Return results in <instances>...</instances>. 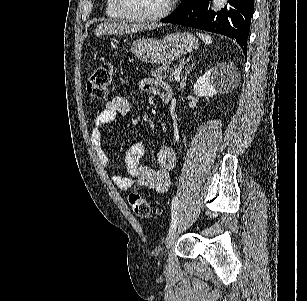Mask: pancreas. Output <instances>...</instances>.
<instances>
[{"mask_svg": "<svg viewBox=\"0 0 307 301\" xmlns=\"http://www.w3.org/2000/svg\"><path fill=\"white\" fill-rule=\"evenodd\" d=\"M172 72H174L173 68L170 66H158L156 70H152V76H156V78H167V80H175L174 76H172Z\"/></svg>", "mask_w": 307, "mask_h": 301, "instance_id": "cf45deb5", "label": "pancreas"}]
</instances>
